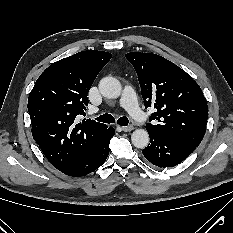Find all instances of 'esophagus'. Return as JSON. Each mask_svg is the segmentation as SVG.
<instances>
[{
	"instance_id": "1",
	"label": "esophagus",
	"mask_w": 233,
	"mask_h": 233,
	"mask_svg": "<svg viewBox=\"0 0 233 233\" xmlns=\"http://www.w3.org/2000/svg\"><path fill=\"white\" fill-rule=\"evenodd\" d=\"M124 132H130L133 130V126H123L121 127Z\"/></svg>"
}]
</instances>
